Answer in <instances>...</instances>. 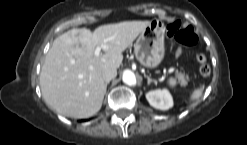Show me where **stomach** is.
<instances>
[{
  "mask_svg": "<svg viewBox=\"0 0 247 145\" xmlns=\"http://www.w3.org/2000/svg\"><path fill=\"white\" fill-rule=\"evenodd\" d=\"M165 26L160 20H152L134 43V54L139 63L148 68L157 67L165 55Z\"/></svg>",
  "mask_w": 247,
  "mask_h": 145,
  "instance_id": "stomach-1",
  "label": "stomach"
}]
</instances>
